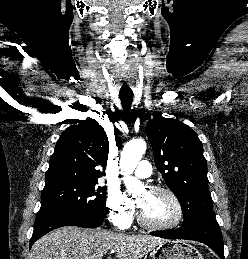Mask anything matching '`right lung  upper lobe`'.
<instances>
[{
  "label": "right lung upper lobe",
  "instance_id": "right-lung-upper-lobe-1",
  "mask_svg": "<svg viewBox=\"0 0 248 259\" xmlns=\"http://www.w3.org/2000/svg\"><path fill=\"white\" fill-rule=\"evenodd\" d=\"M108 153V137L96 120L70 126L57 141L45 183L97 180L104 175Z\"/></svg>",
  "mask_w": 248,
  "mask_h": 259
}]
</instances>
